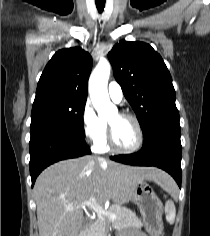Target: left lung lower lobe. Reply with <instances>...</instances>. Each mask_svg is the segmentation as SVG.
Listing matches in <instances>:
<instances>
[{
    "label": "left lung lower lobe",
    "instance_id": "obj_1",
    "mask_svg": "<svg viewBox=\"0 0 210 236\" xmlns=\"http://www.w3.org/2000/svg\"><path fill=\"white\" fill-rule=\"evenodd\" d=\"M180 124L177 121L154 125L144 134L142 149L134 154L112 156L111 159L134 166L159 167L176 180L181 187Z\"/></svg>",
    "mask_w": 210,
    "mask_h": 236
}]
</instances>
